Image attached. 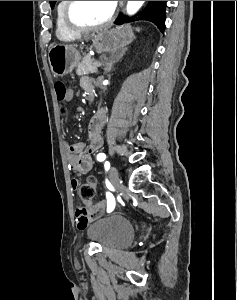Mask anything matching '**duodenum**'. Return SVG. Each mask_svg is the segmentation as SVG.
<instances>
[{
    "instance_id": "obj_1",
    "label": "duodenum",
    "mask_w": 237,
    "mask_h": 300,
    "mask_svg": "<svg viewBox=\"0 0 237 300\" xmlns=\"http://www.w3.org/2000/svg\"><path fill=\"white\" fill-rule=\"evenodd\" d=\"M88 101H89V102L92 101V95H91L90 91H89V94H88Z\"/></svg>"
}]
</instances>
